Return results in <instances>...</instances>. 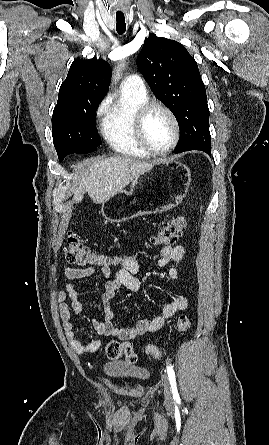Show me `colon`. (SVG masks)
I'll use <instances>...</instances> for the list:
<instances>
[{
  "instance_id": "colon-1",
  "label": "colon",
  "mask_w": 269,
  "mask_h": 445,
  "mask_svg": "<svg viewBox=\"0 0 269 445\" xmlns=\"http://www.w3.org/2000/svg\"><path fill=\"white\" fill-rule=\"evenodd\" d=\"M186 228L187 219L185 217L181 216L170 220L150 238V245L156 247L172 245L183 235ZM64 254L67 262L85 268H110L118 262V259L87 246L72 232H69L67 235ZM190 326L191 322L187 316L182 315L179 317L177 329L180 332L188 331ZM105 351L109 359L115 360L124 356L129 363H135L137 360L132 346L128 343L110 341L107 343ZM146 354L152 358H160L162 356L161 350L155 345H148Z\"/></svg>"
}]
</instances>
